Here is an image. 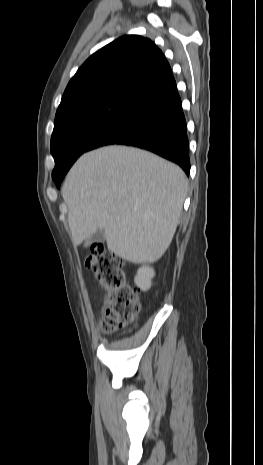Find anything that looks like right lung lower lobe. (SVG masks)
Returning <instances> with one entry per match:
<instances>
[{"mask_svg":"<svg viewBox=\"0 0 263 465\" xmlns=\"http://www.w3.org/2000/svg\"><path fill=\"white\" fill-rule=\"evenodd\" d=\"M110 144L149 150L175 162L189 175L186 120L173 76L138 95L89 150ZM62 179L56 182L57 187Z\"/></svg>","mask_w":263,"mask_h":465,"instance_id":"98d812e1","label":"right lung lower lobe"}]
</instances>
